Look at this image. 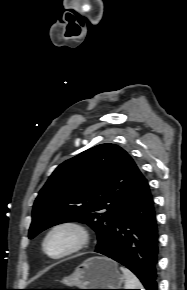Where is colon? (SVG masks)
<instances>
[{"label":"colon","instance_id":"obj_1","mask_svg":"<svg viewBox=\"0 0 187 290\" xmlns=\"http://www.w3.org/2000/svg\"><path fill=\"white\" fill-rule=\"evenodd\" d=\"M30 290H76V289L63 288V289H30Z\"/></svg>","mask_w":187,"mask_h":290}]
</instances>
